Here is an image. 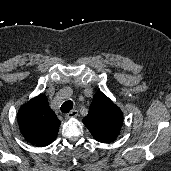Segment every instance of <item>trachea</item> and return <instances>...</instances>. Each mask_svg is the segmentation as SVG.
Listing matches in <instances>:
<instances>
[{
  "label": "trachea",
  "mask_w": 171,
  "mask_h": 171,
  "mask_svg": "<svg viewBox=\"0 0 171 171\" xmlns=\"http://www.w3.org/2000/svg\"><path fill=\"white\" fill-rule=\"evenodd\" d=\"M73 108V102L72 101H66L61 106V111L63 113H69V111Z\"/></svg>",
  "instance_id": "1"
}]
</instances>
